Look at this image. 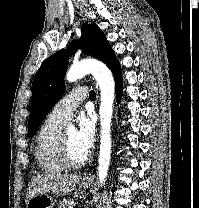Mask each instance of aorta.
I'll return each instance as SVG.
<instances>
[{
  "mask_svg": "<svg viewBox=\"0 0 199 208\" xmlns=\"http://www.w3.org/2000/svg\"><path fill=\"white\" fill-rule=\"evenodd\" d=\"M91 73L100 88L101 140L98 159V182L105 184L111 159V121L115 93L114 78L109 68L100 61L86 59L73 64L66 74L69 82H74Z\"/></svg>",
  "mask_w": 199,
  "mask_h": 208,
  "instance_id": "aorta-1",
  "label": "aorta"
}]
</instances>
